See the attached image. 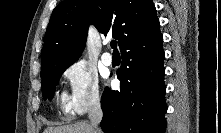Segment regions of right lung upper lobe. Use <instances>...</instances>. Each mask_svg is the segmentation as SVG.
<instances>
[{
	"label": "right lung upper lobe",
	"instance_id": "right-lung-upper-lobe-1",
	"mask_svg": "<svg viewBox=\"0 0 221 133\" xmlns=\"http://www.w3.org/2000/svg\"><path fill=\"white\" fill-rule=\"evenodd\" d=\"M89 24L113 33L120 50L128 43L160 34L152 0H64L51 15L42 50V69L75 62L84 49Z\"/></svg>",
	"mask_w": 221,
	"mask_h": 133
}]
</instances>
